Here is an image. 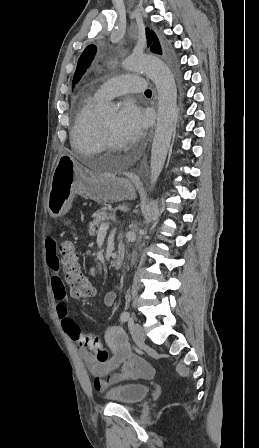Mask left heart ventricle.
Returning a JSON list of instances; mask_svg holds the SVG:
<instances>
[{"label": "left heart ventricle", "instance_id": "1", "mask_svg": "<svg viewBox=\"0 0 259 448\" xmlns=\"http://www.w3.org/2000/svg\"><path fill=\"white\" fill-rule=\"evenodd\" d=\"M104 126L106 127L112 141L118 145L121 146L124 140V135L118 130L117 128V114L107 116L105 118L100 119ZM79 152V151H78ZM82 154H87L85 152H79Z\"/></svg>", "mask_w": 259, "mask_h": 448}]
</instances>
